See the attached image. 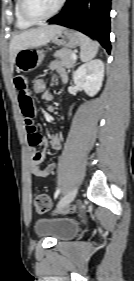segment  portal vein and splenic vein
Instances as JSON below:
<instances>
[{"label": "portal vein and splenic vein", "instance_id": "18ae733b", "mask_svg": "<svg viewBox=\"0 0 134 281\" xmlns=\"http://www.w3.org/2000/svg\"><path fill=\"white\" fill-rule=\"evenodd\" d=\"M72 59L76 60L77 59V55L75 53L72 54Z\"/></svg>", "mask_w": 134, "mask_h": 281}]
</instances>
